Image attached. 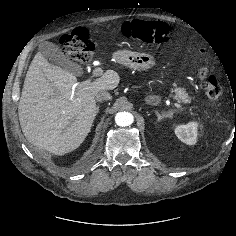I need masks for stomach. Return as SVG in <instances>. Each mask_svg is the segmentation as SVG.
<instances>
[{
	"label": "stomach",
	"instance_id": "0dacf381",
	"mask_svg": "<svg viewBox=\"0 0 236 236\" xmlns=\"http://www.w3.org/2000/svg\"><path fill=\"white\" fill-rule=\"evenodd\" d=\"M115 62L127 66L132 69H149L155 65V59L151 54L139 53L132 51H118L113 54ZM145 102L148 105L156 106L160 104L161 97L159 95H149Z\"/></svg>",
	"mask_w": 236,
	"mask_h": 236
}]
</instances>
